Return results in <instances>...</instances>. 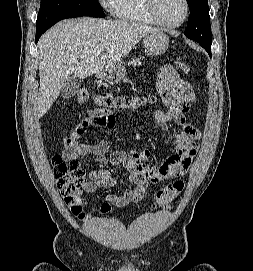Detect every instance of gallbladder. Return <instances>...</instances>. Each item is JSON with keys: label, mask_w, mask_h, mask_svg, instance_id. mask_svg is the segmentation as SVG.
Listing matches in <instances>:
<instances>
[{"label": "gallbladder", "mask_w": 253, "mask_h": 271, "mask_svg": "<svg viewBox=\"0 0 253 271\" xmlns=\"http://www.w3.org/2000/svg\"><path fill=\"white\" fill-rule=\"evenodd\" d=\"M79 86L80 82L77 78L75 77L67 78L61 88L60 96L63 99H69L74 97L79 90Z\"/></svg>", "instance_id": "obj_1"}]
</instances>
